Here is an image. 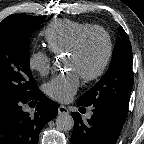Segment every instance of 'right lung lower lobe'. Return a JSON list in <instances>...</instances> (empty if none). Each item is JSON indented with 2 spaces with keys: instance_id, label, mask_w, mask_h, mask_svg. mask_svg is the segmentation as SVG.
<instances>
[{
  "instance_id": "1",
  "label": "right lung lower lobe",
  "mask_w": 144,
  "mask_h": 144,
  "mask_svg": "<svg viewBox=\"0 0 144 144\" xmlns=\"http://www.w3.org/2000/svg\"><path fill=\"white\" fill-rule=\"evenodd\" d=\"M37 101L33 116L22 110L23 103ZM57 105L44 99L39 90L26 101L0 108V144H38L39 133L57 115Z\"/></svg>"
}]
</instances>
